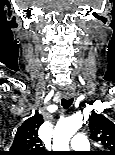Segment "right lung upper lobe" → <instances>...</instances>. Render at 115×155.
<instances>
[{
	"mask_svg": "<svg viewBox=\"0 0 115 155\" xmlns=\"http://www.w3.org/2000/svg\"><path fill=\"white\" fill-rule=\"evenodd\" d=\"M38 112L28 118L18 129L8 155H47L38 137V129L43 123Z\"/></svg>",
	"mask_w": 115,
	"mask_h": 155,
	"instance_id": "right-lung-upper-lobe-1",
	"label": "right lung upper lobe"
}]
</instances>
